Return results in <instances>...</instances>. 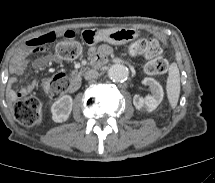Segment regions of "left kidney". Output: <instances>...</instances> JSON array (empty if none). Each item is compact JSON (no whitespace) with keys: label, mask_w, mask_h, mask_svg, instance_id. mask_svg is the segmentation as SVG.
I'll return each mask as SVG.
<instances>
[{"label":"left kidney","mask_w":215,"mask_h":183,"mask_svg":"<svg viewBox=\"0 0 215 183\" xmlns=\"http://www.w3.org/2000/svg\"><path fill=\"white\" fill-rule=\"evenodd\" d=\"M142 83L151 88L152 94L147 95L145 98L136 94L133 98V104L138 110L152 112L163 100V88L155 79L150 77H145Z\"/></svg>","instance_id":"5707ae66"}]
</instances>
